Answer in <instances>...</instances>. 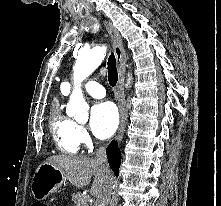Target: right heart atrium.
<instances>
[{
  "mask_svg": "<svg viewBox=\"0 0 221 206\" xmlns=\"http://www.w3.org/2000/svg\"><path fill=\"white\" fill-rule=\"evenodd\" d=\"M77 136L80 144H82L86 148L91 147L92 139L85 127L78 125Z\"/></svg>",
  "mask_w": 221,
  "mask_h": 206,
  "instance_id": "obj_1",
  "label": "right heart atrium"
}]
</instances>
